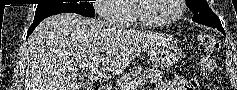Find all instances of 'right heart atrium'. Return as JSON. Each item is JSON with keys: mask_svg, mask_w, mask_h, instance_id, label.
Instances as JSON below:
<instances>
[{"mask_svg": "<svg viewBox=\"0 0 237 90\" xmlns=\"http://www.w3.org/2000/svg\"><path fill=\"white\" fill-rule=\"evenodd\" d=\"M90 10L100 12L104 20H123L124 14L117 11V6L122 5V0H95L92 2Z\"/></svg>", "mask_w": 237, "mask_h": 90, "instance_id": "obj_1", "label": "right heart atrium"}]
</instances>
